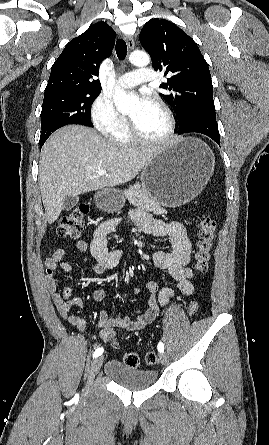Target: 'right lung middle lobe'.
<instances>
[{
    "label": "right lung middle lobe",
    "instance_id": "right-lung-middle-lobe-1",
    "mask_svg": "<svg viewBox=\"0 0 269 445\" xmlns=\"http://www.w3.org/2000/svg\"><path fill=\"white\" fill-rule=\"evenodd\" d=\"M100 92L55 91L44 93L41 111L42 146L58 128L68 124H81L92 127L90 107Z\"/></svg>",
    "mask_w": 269,
    "mask_h": 445
}]
</instances>
